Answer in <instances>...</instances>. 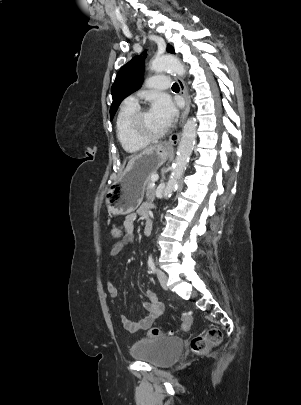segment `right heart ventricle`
Wrapping results in <instances>:
<instances>
[{
    "label": "right heart ventricle",
    "instance_id": "obj_1",
    "mask_svg": "<svg viewBox=\"0 0 301 405\" xmlns=\"http://www.w3.org/2000/svg\"><path fill=\"white\" fill-rule=\"evenodd\" d=\"M137 110L136 105L123 104L116 118V135L127 153H137L142 150L147 143L136 139L130 132V120Z\"/></svg>",
    "mask_w": 301,
    "mask_h": 405
}]
</instances>
